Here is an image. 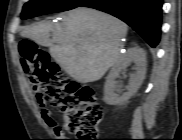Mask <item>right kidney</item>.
<instances>
[{
  "label": "right kidney",
  "mask_w": 182,
  "mask_h": 140,
  "mask_svg": "<svg viewBox=\"0 0 182 140\" xmlns=\"http://www.w3.org/2000/svg\"><path fill=\"white\" fill-rule=\"evenodd\" d=\"M135 64L134 72L130 75L127 92L121 96L116 94L115 79L119 73L126 70L130 63ZM146 53L140 47H133L124 53L120 59L112 66L104 86V101L109 105H121L127 102L140 88L146 75Z\"/></svg>",
  "instance_id": "obj_1"
}]
</instances>
